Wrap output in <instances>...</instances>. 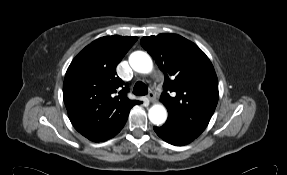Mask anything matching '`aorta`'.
<instances>
[{
    "mask_svg": "<svg viewBox=\"0 0 287 175\" xmlns=\"http://www.w3.org/2000/svg\"><path fill=\"white\" fill-rule=\"evenodd\" d=\"M132 69L138 73L148 74L153 69L151 57L143 51H135L129 56ZM149 120L155 125L163 124L167 119V110L162 104L153 105L148 112Z\"/></svg>",
    "mask_w": 287,
    "mask_h": 175,
    "instance_id": "obj_1",
    "label": "aorta"
}]
</instances>
